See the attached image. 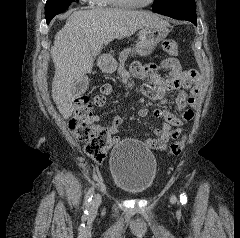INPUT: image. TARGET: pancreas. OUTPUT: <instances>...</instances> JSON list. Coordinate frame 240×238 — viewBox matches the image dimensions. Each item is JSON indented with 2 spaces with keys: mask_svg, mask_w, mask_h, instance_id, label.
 I'll list each match as a JSON object with an SVG mask.
<instances>
[{
  "mask_svg": "<svg viewBox=\"0 0 240 238\" xmlns=\"http://www.w3.org/2000/svg\"><path fill=\"white\" fill-rule=\"evenodd\" d=\"M130 51H131V49L128 48V49H124V50L120 53V56H119L120 66H119V69H118V72H119V73L123 70L124 62H125V60L127 59V56H128V54H129Z\"/></svg>",
  "mask_w": 240,
  "mask_h": 238,
  "instance_id": "pancreas-1",
  "label": "pancreas"
}]
</instances>
